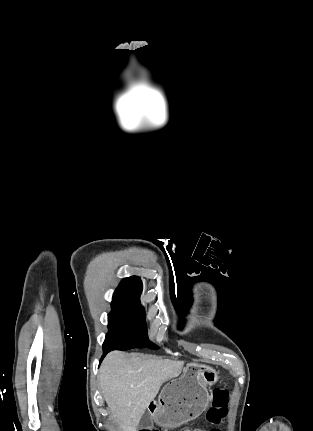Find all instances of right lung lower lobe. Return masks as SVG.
Returning a JSON list of instances; mask_svg holds the SVG:
<instances>
[{"mask_svg":"<svg viewBox=\"0 0 313 431\" xmlns=\"http://www.w3.org/2000/svg\"><path fill=\"white\" fill-rule=\"evenodd\" d=\"M108 352H110V351H108V350H104V351H103V356H102V358H101V361H102V359L105 357V355H106ZM101 361H100V362H101Z\"/></svg>","mask_w":313,"mask_h":431,"instance_id":"1","label":"right lung lower lobe"}]
</instances>
